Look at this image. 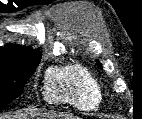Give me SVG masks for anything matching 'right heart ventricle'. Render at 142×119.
Instances as JSON below:
<instances>
[{"label":"right heart ventricle","instance_id":"obj_1","mask_svg":"<svg viewBox=\"0 0 142 119\" xmlns=\"http://www.w3.org/2000/svg\"><path fill=\"white\" fill-rule=\"evenodd\" d=\"M44 95L48 102L68 103L83 111L97 109L102 100L98 81L79 64L48 70Z\"/></svg>","mask_w":142,"mask_h":119}]
</instances>
